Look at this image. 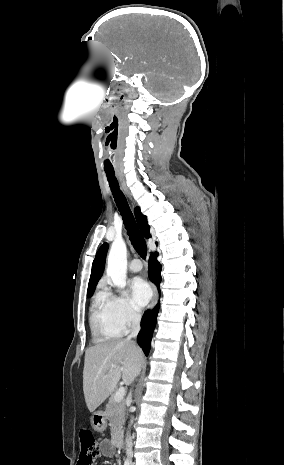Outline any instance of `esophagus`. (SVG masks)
<instances>
[{"mask_svg": "<svg viewBox=\"0 0 284 465\" xmlns=\"http://www.w3.org/2000/svg\"><path fill=\"white\" fill-rule=\"evenodd\" d=\"M116 174H117V176H119V171L118 170H116ZM122 188L124 189L126 195L131 200V196H130L128 190L123 185H122ZM152 290H153V296H152V300H151V302H150V304L148 306L149 309H152L156 305L157 299H158V292H157V289H156L155 285H152Z\"/></svg>", "mask_w": 284, "mask_h": 465, "instance_id": "obj_1", "label": "esophagus"}]
</instances>
